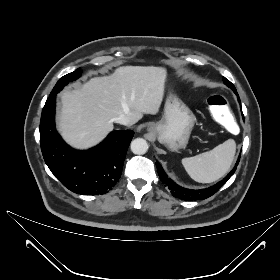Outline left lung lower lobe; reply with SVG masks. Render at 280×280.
<instances>
[{
    "label": "left lung lower lobe",
    "mask_w": 280,
    "mask_h": 280,
    "mask_svg": "<svg viewBox=\"0 0 280 280\" xmlns=\"http://www.w3.org/2000/svg\"><path fill=\"white\" fill-rule=\"evenodd\" d=\"M238 101H240L239 97H238ZM239 160H240V156L237 160V163L235 164V167L231 170V172L223 180H221L214 186H211L206 189H201V190H190V189H186V188L178 186L170 178L167 177V175L165 174L164 170L162 169L161 165L158 162H156V166H157L158 174H159V177H160L162 183L168 187V189L171 191L172 195L181 200L189 201V200H202V199L208 198V197L212 196L214 193H216L227 182V180L234 174V172L237 168V165L239 163Z\"/></svg>",
    "instance_id": "1"
}]
</instances>
